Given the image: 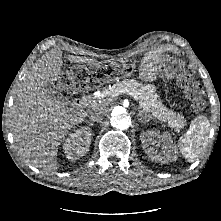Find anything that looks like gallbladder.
I'll return each mask as SVG.
<instances>
[{"mask_svg": "<svg viewBox=\"0 0 221 221\" xmlns=\"http://www.w3.org/2000/svg\"><path fill=\"white\" fill-rule=\"evenodd\" d=\"M60 89H61V84H54V85L48 84L46 86L47 94L51 98H55L63 103H66L67 99L62 95Z\"/></svg>", "mask_w": 221, "mask_h": 221, "instance_id": "1", "label": "gallbladder"}]
</instances>
